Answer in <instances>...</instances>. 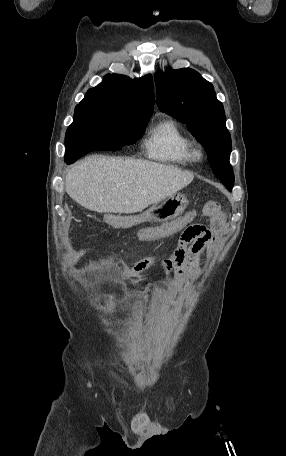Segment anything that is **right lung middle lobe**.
Listing matches in <instances>:
<instances>
[{
  "label": "right lung middle lobe",
  "instance_id": "dd1d6c3e",
  "mask_svg": "<svg viewBox=\"0 0 286 456\" xmlns=\"http://www.w3.org/2000/svg\"><path fill=\"white\" fill-rule=\"evenodd\" d=\"M150 116H137L105 108L76 106L74 121L65 136L67 164L91 151H117L140 139Z\"/></svg>",
  "mask_w": 286,
  "mask_h": 456
}]
</instances>
